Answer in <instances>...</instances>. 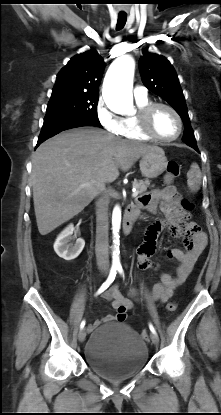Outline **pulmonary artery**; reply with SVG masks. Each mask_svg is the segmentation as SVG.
<instances>
[{
  "instance_id": "e3ab8cb5",
  "label": "pulmonary artery",
  "mask_w": 221,
  "mask_h": 415,
  "mask_svg": "<svg viewBox=\"0 0 221 415\" xmlns=\"http://www.w3.org/2000/svg\"><path fill=\"white\" fill-rule=\"evenodd\" d=\"M134 96L136 99L146 98L147 89L144 86L136 85L134 88Z\"/></svg>"
}]
</instances>
